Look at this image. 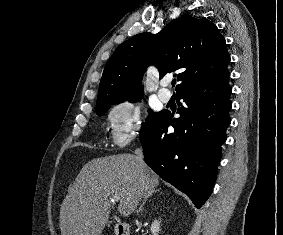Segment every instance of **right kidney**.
Returning a JSON list of instances; mask_svg holds the SVG:
<instances>
[{"mask_svg":"<svg viewBox=\"0 0 283 235\" xmlns=\"http://www.w3.org/2000/svg\"><path fill=\"white\" fill-rule=\"evenodd\" d=\"M151 232L153 235H158L160 231V221L154 220L151 224Z\"/></svg>","mask_w":283,"mask_h":235,"instance_id":"obj_1","label":"right kidney"}]
</instances>
